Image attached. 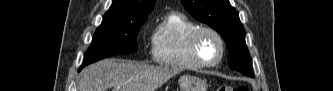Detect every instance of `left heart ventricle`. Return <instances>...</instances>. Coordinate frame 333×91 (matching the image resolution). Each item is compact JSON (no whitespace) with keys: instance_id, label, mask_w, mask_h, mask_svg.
Masks as SVG:
<instances>
[{"instance_id":"left-heart-ventricle-1","label":"left heart ventricle","mask_w":333,"mask_h":91,"mask_svg":"<svg viewBox=\"0 0 333 91\" xmlns=\"http://www.w3.org/2000/svg\"><path fill=\"white\" fill-rule=\"evenodd\" d=\"M199 54L206 62H214L220 54V46L217 39L209 33L201 36L199 41Z\"/></svg>"}]
</instances>
